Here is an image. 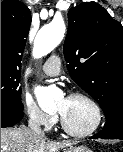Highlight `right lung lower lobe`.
<instances>
[{
    "mask_svg": "<svg viewBox=\"0 0 123 152\" xmlns=\"http://www.w3.org/2000/svg\"><path fill=\"white\" fill-rule=\"evenodd\" d=\"M23 111L1 107V128L12 127L23 118Z\"/></svg>",
    "mask_w": 123,
    "mask_h": 152,
    "instance_id": "right-lung-lower-lobe-1",
    "label": "right lung lower lobe"
}]
</instances>
